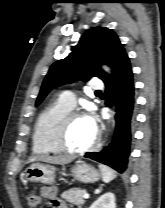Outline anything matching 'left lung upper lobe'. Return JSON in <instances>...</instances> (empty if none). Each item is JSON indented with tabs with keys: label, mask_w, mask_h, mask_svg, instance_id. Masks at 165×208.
Wrapping results in <instances>:
<instances>
[{
	"label": "left lung upper lobe",
	"mask_w": 165,
	"mask_h": 208,
	"mask_svg": "<svg viewBox=\"0 0 165 208\" xmlns=\"http://www.w3.org/2000/svg\"><path fill=\"white\" fill-rule=\"evenodd\" d=\"M127 56L118 36L106 27H95L87 31L74 47L72 53L49 69L36 100L38 106L55 87L76 80L88 81L98 77L105 81L110 77L100 68L107 64L114 73L120 62Z\"/></svg>",
	"instance_id": "obj_1"
}]
</instances>
